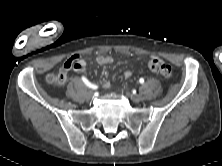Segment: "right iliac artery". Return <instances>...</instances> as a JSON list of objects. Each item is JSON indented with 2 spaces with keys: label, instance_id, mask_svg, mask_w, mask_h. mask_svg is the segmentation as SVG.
<instances>
[{
  "label": "right iliac artery",
  "instance_id": "obj_1",
  "mask_svg": "<svg viewBox=\"0 0 222 166\" xmlns=\"http://www.w3.org/2000/svg\"><path fill=\"white\" fill-rule=\"evenodd\" d=\"M83 82L85 85L91 89H97L98 87L95 84L90 83L85 77H82Z\"/></svg>",
  "mask_w": 222,
  "mask_h": 166
}]
</instances>
